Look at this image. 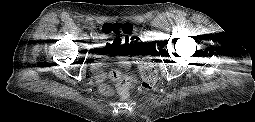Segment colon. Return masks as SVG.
Instances as JSON below:
<instances>
[{
  "instance_id": "obj_1",
  "label": "colon",
  "mask_w": 255,
  "mask_h": 122,
  "mask_svg": "<svg viewBox=\"0 0 255 122\" xmlns=\"http://www.w3.org/2000/svg\"><path fill=\"white\" fill-rule=\"evenodd\" d=\"M103 30L105 34L113 33L115 35H126L129 38L130 45L137 47L140 44V38L136 35H133V26L131 24H104ZM141 75L142 82L138 88L139 91L142 93L151 92L154 89L157 81V71L155 66L149 61H142ZM111 77L115 82L117 91L122 96H127L129 91L136 84V77L132 73L123 72L121 70H114L111 74ZM102 91L108 92L109 89L103 86Z\"/></svg>"
}]
</instances>
